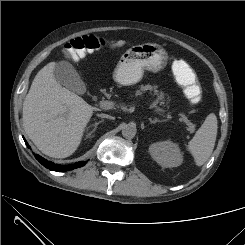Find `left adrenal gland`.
I'll use <instances>...</instances> for the list:
<instances>
[{"instance_id": "1", "label": "left adrenal gland", "mask_w": 245, "mask_h": 245, "mask_svg": "<svg viewBox=\"0 0 245 245\" xmlns=\"http://www.w3.org/2000/svg\"><path fill=\"white\" fill-rule=\"evenodd\" d=\"M162 121H164V120H159V119H157V118H155V119H150V122L151 123H156V122H162Z\"/></svg>"}]
</instances>
